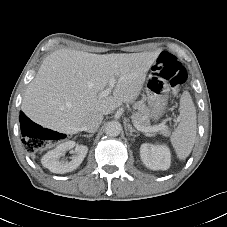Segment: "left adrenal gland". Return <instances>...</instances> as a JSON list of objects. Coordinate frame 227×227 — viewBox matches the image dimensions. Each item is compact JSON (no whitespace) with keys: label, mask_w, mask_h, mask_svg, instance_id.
<instances>
[{"label":"left adrenal gland","mask_w":227,"mask_h":227,"mask_svg":"<svg viewBox=\"0 0 227 227\" xmlns=\"http://www.w3.org/2000/svg\"><path fill=\"white\" fill-rule=\"evenodd\" d=\"M127 128H128V130H129V132H130V136L137 137V136L139 135V134H138V131L135 130V129L132 127V125L128 124V125H127ZM133 133H137V135H133Z\"/></svg>","instance_id":"left-adrenal-gland-1"}]
</instances>
